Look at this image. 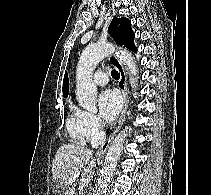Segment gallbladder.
Instances as JSON below:
<instances>
[{"label": "gallbladder", "instance_id": "1", "mask_svg": "<svg viewBox=\"0 0 211 195\" xmlns=\"http://www.w3.org/2000/svg\"><path fill=\"white\" fill-rule=\"evenodd\" d=\"M62 187V186H61ZM54 190H57L55 186H53Z\"/></svg>", "mask_w": 211, "mask_h": 195}]
</instances>
